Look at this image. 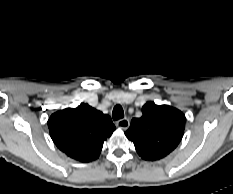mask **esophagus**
Returning a JSON list of instances; mask_svg holds the SVG:
<instances>
[{"label":"esophagus","mask_w":233,"mask_h":194,"mask_svg":"<svg viewBox=\"0 0 233 194\" xmlns=\"http://www.w3.org/2000/svg\"><path fill=\"white\" fill-rule=\"evenodd\" d=\"M116 125L120 128V129H123V130H126L129 125H130V122L127 118H124V119H120L117 121Z\"/></svg>","instance_id":"esophagus-1"}]
</instances>
